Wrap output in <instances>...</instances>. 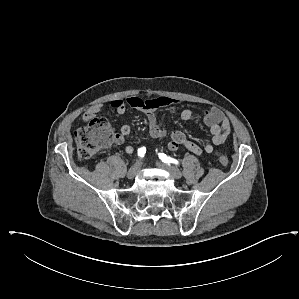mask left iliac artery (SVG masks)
I'll list each match as a JSON object with an SVG mask.
<instances>
[{
	"label": "left iliac artery",
	"instance_id": "44dca946",
	"mask_svg": "<svg viewBox=\"0 0 299 299\" xmlns=\"http://www.w3.org/2000/svg\"><path fill=\"white\" fill-rule=\"evenodd\" d=\"M158 156H159V158H160L164 163H168V164L173 163V164H176V165L179 164V161H178V160H176V159H174V158H171V157L167 156V155L164 154V153H159Z\"/></svg>",
	"mask_w": 299,
	"mask_h": 299
}]
</instances>
